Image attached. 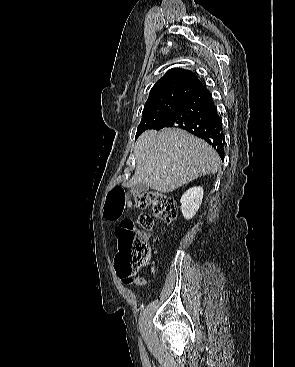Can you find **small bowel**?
<instances>
[{
  "instance_id": "1",
  "label": "small bowel",
  "mask_w": 295,
  "mask_h": 367,
  "mask_svg": "<svg viewBox=\"0 0 295 367\" xmlns=\"http://www.w3.org/2000/svg\"><path fill=\"white\" fill-rule=\"evenodd\" d=\"M155 272V269H154V266L152 265L151 266V273L154 274ZM120 279H121V282L124 284V285H132V284H141L142 281L141 280H137V281H134L131 277L127 276V277H122V276H119Z\"/></svg>"
}]
</instances>
